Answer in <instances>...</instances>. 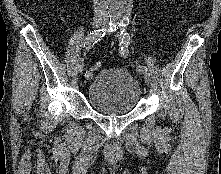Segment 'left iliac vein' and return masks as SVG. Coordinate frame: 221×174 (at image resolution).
Listing matches in <instances>:
<instances>
[{
    "label": "left iliac vein",
    "mask_w": 221,
    "mask_h": 174,
    "mask_svg": "<svg viewBox=\"0 0 221 174\" xmlns=\"http://www.w3.org/2000/svg\"><path fill=\"white\" fill-rule=\"evenodd\" d=\"M105 26H107V23H105ZM142 73H143V76H144L145 83L147 84V86H149L151 84L150 74L148 73L147 70H144Z\"/></svg>",
    "instance_id": "obj_1"
}]
</instances>
